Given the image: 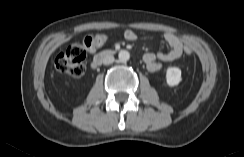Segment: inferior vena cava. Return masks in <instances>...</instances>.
I'll return each mask as SVG.
<instances>
[{
	"instance_id": "1",
	"label": "inferior vena cava",
	"mask_w": 244,
	"mask_h": 157,
	"mask_svg": "<svg viewBox=\"0 0 244 157\" xmlns=\"http://www.w3.org/2000/svg\"><path fill=\"white\" fill-rule=\"evenodd\" d=\"M114 60L115 59H114V56L113 55L107 54V55H105L103 57L102 62H103L104 65H109V64H112L114 62Z\"/></svg>"
}]
</instances>
